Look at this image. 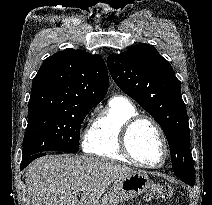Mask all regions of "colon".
Masks as SVG:
<instances>
[{
	"mask_svg": "<svg viewBox=\"0 0 212 205\" xmlns=\"http://www.w3.org/2000/svg\"><path fill=\"white\" fill-rule=\"evenodd\" d=\"M174 197V190L171 185L165 182L153 183L145 198L147 200H171Z\"/></svg>",
	"mask_w": 212,
	"mask_h": 205,
	"instance_id": "1",
	"label": "colon"
}]
</instances>
